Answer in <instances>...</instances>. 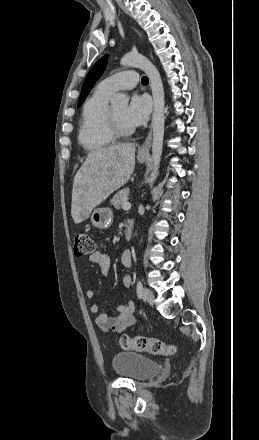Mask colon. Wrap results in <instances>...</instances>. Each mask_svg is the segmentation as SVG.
Wrapping results in <instances>:
<instances>
[{"mask_svg":"<svg viewBox=\"0 0 259 440\" xmlns=\"http://www.w3.org/2000/svg\"><path fill=\"white\" fill-rule=\"evenodd\" d=\"M94 248V241L90 235L86 233L76 234L74 242L76 256L89 255L94 252ZM118 343L125 350L145 351L159 356L171 355L174 352V347L171 344L145 336L130 337L123 334L118 337Z\"/></svg>","mask_w":259,"mask_h":440,"instance_id":"1","label":"colon"}]
</instances>
